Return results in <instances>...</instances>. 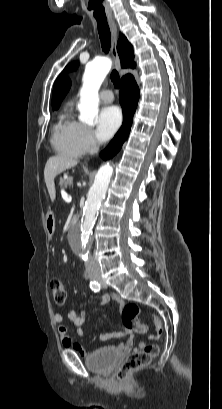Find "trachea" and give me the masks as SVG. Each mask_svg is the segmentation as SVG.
I'll return each instance as SVG.
<instances>
[{
    "mask_svg": "<svg viewBox=\"0 0 222 409\" xmlns=\"http://www.w3.org/2000/svg\"><path fill=\"white\" fill-rule=\"evenodd\" d=\"M97 27L99 38L101 41L102 50L108 53L111 47V33L107 21L97 19ZM111 80L114 86L118 89L121 86L118 72L114 69L111 73Z\"/></svg>",
    "mask_w": 222,
    "mask_h": 409,
    "instance_id": "3493384b",
    "label": "trachea"
}]
</instances>
